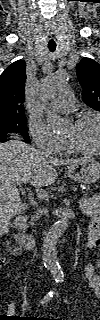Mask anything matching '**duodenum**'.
Returning <instances> with one entry per match:
<instances>
[{
    "label": "duodenum",
    "instance_id": "1",
    "mask_svg": "<svg viewBox=\"0 0 100 320\" xmlns=\"http://www.w3.org/2000/svg\"><path fill=\"white\" fill-rule=\"evenodd\" d=\"M15 225L17 228L16 239L19 244L27 250L33 249L35 246V238L27 231V218L25 216H21L16 219Z\"/></svg>",
    "mask_w": 100,
    "mask_h": 320
}]
</instances>
